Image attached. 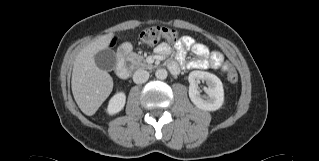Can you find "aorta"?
Listing matches in <instances>:
<instances>
[{"label": "aorta", "instance_id": "762f6f07", "mask_svg": "<svg viewBox=\"0 0 319 161\" xmlns=\"http://www.w3.org/2000/svg\"><path fill=\"white\" fill-rule=\"evenodd\" d=\"M167 71L166 69H158L156 72H155V76L160 79V80H164L167 78Z\"/></svg>", "mask_w": 319, "mask_h": 161}]
</instances>
